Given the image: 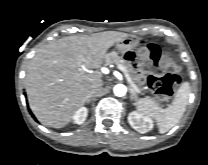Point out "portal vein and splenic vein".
<instances>
[{"label": "portal vein and splenic vein", "instance_id": "portal-vein-and-splenic-vein-1", "mask_svg": "<svg viewBox=\"0 0 208 165\" xmlns=\"http://www.w3.org/2000/svg\"><path fill=\"white\" fill-rule=\"evenodd\" d=\"M117 68H118L119 70H121V71L124 73L125 77H126L127 80L130 82L131 79H130V77H129V74H128L126 68H125L123 65H121V64H117Z\"/></svg>", "mask_w": 208, "mask_h": 165}]
</instances>
